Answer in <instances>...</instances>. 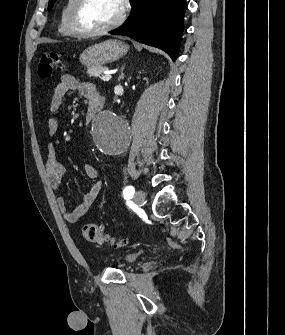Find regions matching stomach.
Returning a JSON list of instances; mask_svg holds the SVG:
<instances>
[{
    "label": "stomach",
    "instance_id": "0dacf381",
    "mask_svg": "<svg viewBox=\"0 0 285 335\" xmlns=\"http://www.w3.org/2000/svg\"><path fill=\"white\" fill-rule=\"evenodd\" d=\"M129 50V46L121 42V40H106L101 44H94L83 50L79 56V60L83 66H105L120 60Z\"/></svg>",
    "mask_w": 285,
    "mask_h": 335
}]
</instances>
